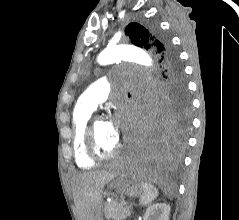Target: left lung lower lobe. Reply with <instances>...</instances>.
I'll return each instance as SVG.
<instances>
[{
	"instance_id": "left-lung-lower-lobe-1",
	"label": "left lung lower lobe",
	"mask_w": 239,
	"mask_h": 220,
	"mask_svg": "<svg viewBox=\"0 0 239 220\" xmlns=\"http://www.w3.org/2000/svg\"><path fill=\"white\" fill-rule=\"evenodd\" d=\"M166 111L163 107L153 119L146 141L135 158L134 165L139 172L162 174L181 160L184 130L175 127Z\"/></svg>"
}]
</instances>
